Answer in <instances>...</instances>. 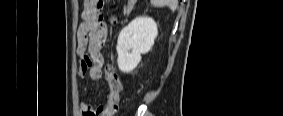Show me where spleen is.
I'll use <instances>...</instances> for the list:
<instances>
[{
    "label": "spleen",
    "mask_w": 283,
    "mask_h": 116,
    "mask_svg": "<svg viewBox=\"0 0 283 116\" xmlns=\"http://www.w3.org/2000/svg\"><path fill=\"white\" fill-rule=\"evenodd\" d=\"M151 4L155 7H169L172 12L177 8V1L174 0H151Z\"/></svg>",
    "instance_id": "1"
}]
</instances>
